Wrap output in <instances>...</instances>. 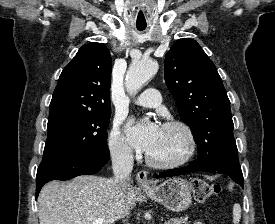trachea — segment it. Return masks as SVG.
Instances as JSON below:
<instances>
[{"label": "trachea", "instance_id": "1", "mask_svg": "<svg viewBox=\"0 0 275 224\" xmlns=\"http://www.w3.org/2000/svg\"><path fill=\"white\" fill-rule=\"evenodd\" d=\"M145 28H146V26H137V29H138L139 31H143Z\"/></svg>", "mask_w": 275, "mask_h": 224}]
</instances>
